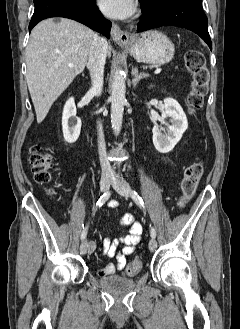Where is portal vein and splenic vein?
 Instances as JSON below:
<instances>
[{
	"mask_svg": "<svg viewBox=\"0 0 240 329\" xmlns=\"http://www.w3.org/2000/svg\"><path fill=\"white\" fill-rule=\"evenodd\" d=\"M73 64H69V67H73ZM162 71V69L159 67L154 71V74H159Z\"/></svg>",
	"mask_w": 240,
	"mask_h": 329,
	"instance_id": "18ae733b",
	"label": "portal vein and splenic vein"
}]
</instances>
